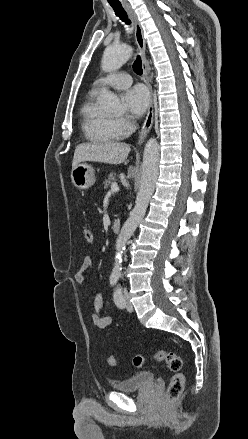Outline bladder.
Wrapping results in <instances>:
<instances>
[{"mask_svg": "<svg viewBox=\"0 0 248 439\" xmlns=\"http://www.w3.org/2000/svg\"><path fill=\"white\" fill-rule=\"evenodd\" d=\"M153 383L154 378L152 372L140 371L125 379L111 381L110 385L116 391L129 393L149 387Z\"/></svg>", "mask_w": 248, "mask_h": 439, "instance_id": "obj_1", "label": "bladder"}]
</instances>
